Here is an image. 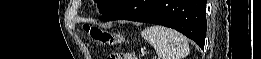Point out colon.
<instances>
[{"label": "colon", "mask_w": 261, "mask_h": 59, "mask_svg": "<svg viewBox=\"0 0 261 59\" xmlns=\"http://www.w3.org/2000/svg\"><path fill=\"white\" fill-rule=\"evenodd\" d=\"M87 32L91 36V38L100 43L105 45H116L122 42V37L116 33L106 31L100 29L98 27H87ZM110 59H119L122 58L121 56H110ZM127 59H133L134 57H126Z\"/></svg>", "instance_id": "5ec220e1"}]
</instances>
